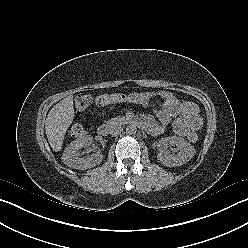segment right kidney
Listing matches in <instances>:
<instances>
[{
  "label": "right kidney",
  "mask_w": 248,
  "mask_h": 248,
  "mask_svg": "<svg viewBox=\"0 0 248 248\" xmlns=\"http://www.w3.org/2000/svg\"><path fill=\"white\" fill-rule=\"evenodd\" d=\"M92 141L93 138L91 136H83L72 141L64 150L62 155L63 163L75 169H88L100 164L103 155L99 152L93 153L88 157H81V148L90 146Z\"/></svg>",
  "instance_id": "1"
}]
</instances>
